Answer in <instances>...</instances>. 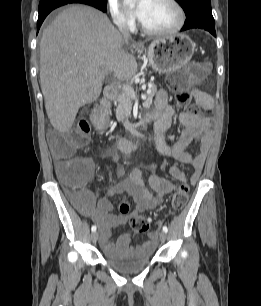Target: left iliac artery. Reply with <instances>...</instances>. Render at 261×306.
Listing matches in <instances>:
<instances>
[{"mask_svg":"<svg viewBox=\"0 0 261 306\" xmlns=\"http://www.w3.org/2000/svg\"><path fill=\"white\" fill-rule=\"evenodd\" d=\"M163 231H164L165 233H167V232H168V228H167V226H163Z\"/></svg>","mask_w":261,"mask_h":306,"instance_id":"1","label":"left iliac artery"}]
</instances>
